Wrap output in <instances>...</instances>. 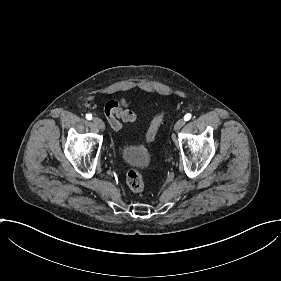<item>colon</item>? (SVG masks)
<instances>
[{"label": "colon", "instance_id": "colon-1", "mask_svg": "<svg viewBox=\"0 0 281 281\" xmlns=\"http://www.w3.org/2000/svg\"><path fill=\"white\" fill-rule=\"evenodd\" d=\"M167 115L168 109L165 105L160 106L156 110L152 118L150 127L143 138V142L145 144L149 145L155 141ZM124 181L127 187L133 192H143L145 189L146 179L144 174L142 173V167L140 165H135L131 170L127 171Z\"/></svg>", "mask_w": 281, "mask_h": 281}]
</instances>
